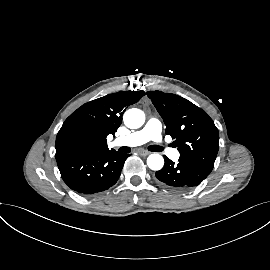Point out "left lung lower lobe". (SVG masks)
Wrapping results in <instances>:
<instances>
[{
  "instance_id": "1",
  "label": "left lung lower lobe",
  "mask_w": 270,
  "mask_h": 270,
  "mask_svg": "<svg viewBox=\"0 0 270 270\" xmlns=\"http://www.w3.org/2000/svg\"><path fill=\"white\" fill-rule=\"evenodd\" d=\"M164 167L156 172L157 179L170 189L186 191L198 186L212 171L192 160L179 158L177 164L164 156Z\"/></svg>"
}]
</instances>
